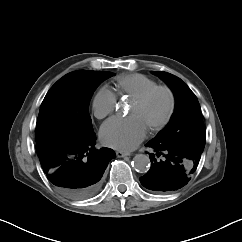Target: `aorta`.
Returning a JSON list of instances; mask_svg holds the SVG:
<instances>
[{"instance_id":"1","label":"aorta","mask_w":242,"mask_h":242,"mask_svg":"<svg viewBox=\"0 0 242 242\" xmlns=\"http://www.w3.org/2000/svg\"><path fill=\"white\" fill-rule=\"evenodd\" d=\"M133 160L134 168L137 171L141 173H145L148 171L150 167L149 156H147L146 154H136Z\"/></svg>"}]
</instances>
